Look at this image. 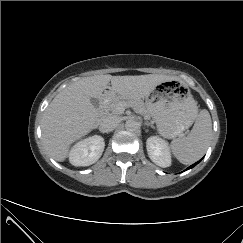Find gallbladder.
I'll list each match as a JSON object with an SVG mask.
<instances>
[{"label":"gallbladder","mask_w":243,"mask_h":243,"mask_svg":"<svg viewBox=\"0 0 243 243\" xmlns=\"http://www.w3.org/2000/svg\"><path fill=\"white\" fill-rule=\"evenodd\" d=\"M91 103L95 106L98 107L99 106V101L96 98H91Z\"/></svg>","instance_id":"1"}]
</instances>
